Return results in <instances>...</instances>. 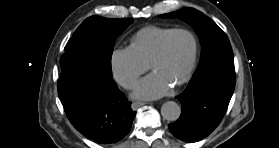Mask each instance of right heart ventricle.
Instances as JSON below:
<instances>
[{
	"label": "right heart ventricle",
	"mask_w": 279,
	"mask_h": 148,
	"mask_svg": "<svg viewBox=\"0 0 279 148\" xmlns=\"http://www.w3.org/2000/svg\"><path fill=\"white\" fill-rule=\"evenodd\" d=\"M172 30L174 29L155 26L143 28L134 36L131 47L146 64H149L162 39Z\"/></svg>",
	"instance_id": "obj_1"
}]
</instances>
